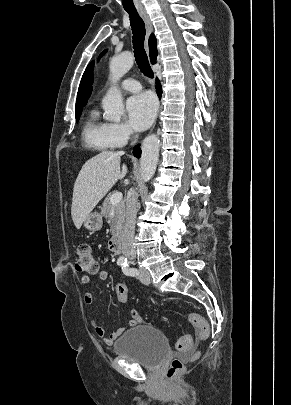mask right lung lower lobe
I'll list each match as a JSON object with an SVG mask.
<instances>
[{
  "label": "right lung lower lobe",
  "mask_w": 291,
  "mask_h": 405,
  "mask_svg": "<svg viewBox=\"0 0 291 405\" xmlns=\"http://www.w3.org/2000/svg\"><path fill=\"white\" fill-rule=\"evenodd\" d=\"M156 91H157V95L159 96V98H161L162 89H161V85H160L158 79L156 80ZM133 154H134L136 157H140V155H141V149L139 148V145L135 146L134 151H133Z\"/></svg>",
  "instance_id": "1"
}]
</instances>
